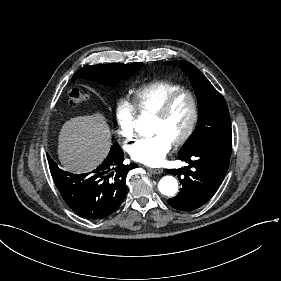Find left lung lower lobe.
<instances>
[{"label":"left lung lower lobe","instance_id":"0a47b994","mask_svg":"<svg viewBox=\"0 0 281 281\" xmlns=\"http://www.w3.org/2000/svg\"><path fill=\"white\" fill-rule=\"evenodd\" d=\"M178 158L189 163L184 169L167 170L178 175L182 188L168 199L171 207L181 211H192L204 205L218 190L227 169L230 157L207 148L179 154ZM184 175L181 179L180 176Z\"/></svg>","mask_w":281,"mask_h":281}]
</instances>
